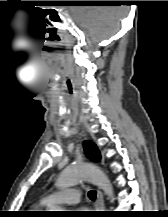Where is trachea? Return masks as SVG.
Listing matches in <instances>:
<instances>
[{"label": "trachea", "instance_id": "3493384b", "mask_svg": "<svg viewBox=\"0 0 168 217\" xmlns=\"http://www.w3.org/2000/svg\"><path fill=\"white\" fill-rule=\"evenodd\" d=\"M88 197H89L92 201H94L95 198H96V191H94V190L89 191V192H88Z\"/></svg>", "mask_w": 168, "mask_h": 217}]
</instances>
